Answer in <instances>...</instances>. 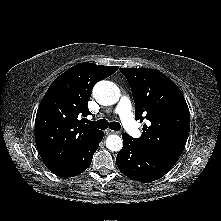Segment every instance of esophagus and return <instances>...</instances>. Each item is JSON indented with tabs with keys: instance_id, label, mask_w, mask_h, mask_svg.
<instances>
[{
	"instance_id": "esophagus-1",
	"label": "esophagus",
	"mask_w": 221,
	"mask_h": 221,
	"mask_svg": "<svg viewBox=\"0 0 221 221\" xmlns=\"http://www.w3.org/2000/svg\"><path fill=\"white\" fill-rule=\"evenodd\" d=\"M105 133H106L107 135H110V134H116V133H118V132L113 131V130H110V129H107V130H105Z\"/></svg>"
}]
</instances>
